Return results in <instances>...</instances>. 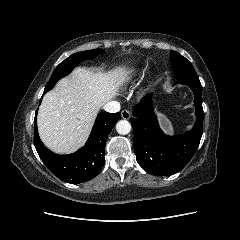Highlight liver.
I'll use <instances>...</instances> for the list:
<instances>
[{
	"mask_svg": "<svg viewBox=\"0 0 240 240\" xmlns=\"http://www.w3.org/2000/svg\"><path fill=\"white\" fill-rule=\"evenodd\" d=\"M124 66L108 72L76 68L45 94L37 124L41 140L59 154L73 153L88 139L99 109L129 82Z\"/></svg>",
	"mask_w": 240,
	"mask_h": 240,
	"instance_id": "6515ba94",
	"label": "liver"
}]
</instances>
